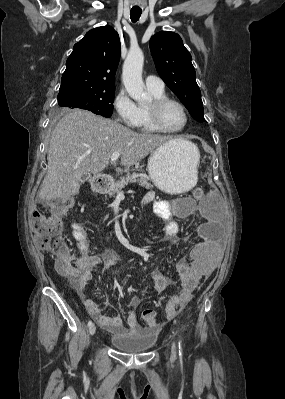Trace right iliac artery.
<instances>
[{"mask_svg": "<svg viewBox=\"0 0 285 399\" xmlns=\"http://www.w3.org/2000/svg\"><path fill=\"white\" fill-rule=\"evenodd\" d=\"M91 325H92V321H91V320H89V322H88V327L90 328V327H91Z\"/></svg>", "mask_w": 285, "mask_h": 399, "instance_id": "right-iliac-artery-1", "label": "right iliac artery"}]
</instances>
